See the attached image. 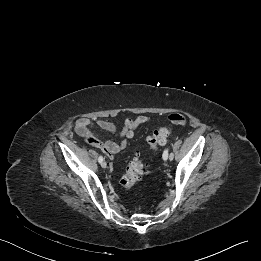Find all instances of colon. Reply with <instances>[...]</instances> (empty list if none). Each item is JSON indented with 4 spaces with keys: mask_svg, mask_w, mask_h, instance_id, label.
<instances>
[{
    "mask_svg": "<svg viewBox=\"0 0 261 261\" xmlns=\"http://www.w3.org/2000/svg\"><path fill=\"white\" fill-rule=\"evenodd\" d=\"M186 119L173 116L169 122L155 130L148 138L147 142L151 149H157L160 145H164L175 125L185 124ZM145 173V165L139 157L132 159L127 166L125 175L121 178L120 184L125 190L131 189L140 176Z\"/></svg>",
    "mask_w": 261,
    "mask_h": 261,
    "instance_id": "obj_1",
    "label": "colon"
}]
</instances>
